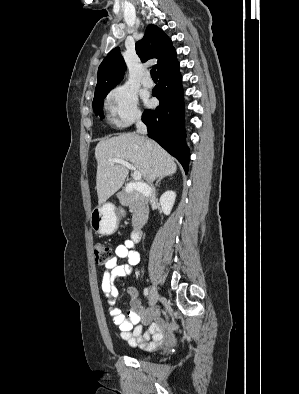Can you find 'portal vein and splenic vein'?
<instances>
[{
	"mask_svg": "<svg viewBox=\"0 0 299 394\" xmlns=\"http://www.w3.org/2000/svg\"><path fill=\"white\" fill-rule=\"evenodd\" d=\"M109 162H110L111 164H121V165L125 166L126 168H128V169H130V170L133 171V179H134L135 181H140V180H141V174H140V172L137 171L136 168H135L132 164H130L129 162H127V161H125V160H123V159H120V158H112V159H109ZM138 183H139V182H138Z\"/></svg>",
	"mask_w": 299,
	"mask_h": 394,
	"instance_id": "obj_1",
	"label": "portal vein and splenic vein"
}]
</instances>
